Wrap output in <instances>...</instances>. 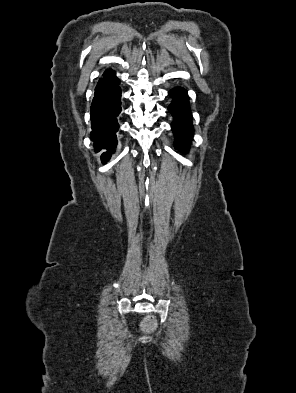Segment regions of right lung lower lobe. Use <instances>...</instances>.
<instances>
[{
  "instance_id": "98d812e1",
  "label": "right lung lower lobe",
  "mask_w": 296,
  "mask_h": 393,
  "mask_svg": "<svg viewBox=\"0 0 296 393\" xmlns=\"http://www.w3.org/2000/svg\"><path fill=\"white\" fill-rule=\"evenodd\" d=\"M121 90L119 79L111 69L106 70L103 78L95 88V96L91 105V139L95 150L107 149L101 156L102 162L110 158L117 144L116 132L119 125L116 117L121 112Z\"/></svg>"
}]
</instances>
